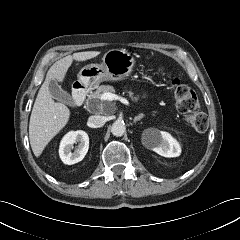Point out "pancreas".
Here are the masks:
<instances>
[{"label":"pancreas","instance_id":"pancreas-1","mask_svg":"<svg viewBox=\"0 0 240 240\" xmlns=\"http://www.w3.org/2000/svg\"><path fill=\"white\" fill-rule=\"evenodd\" d=\"M107 92L114 93L115 92L114 87L110 86V85L99 86L94 93H91L89 95L88 100H87V105H89L91 102H94L100 112L104 111L107 106V103L101 101L100 98H101L102 94L107 93ZM128 94L133 101L137 102L139 100V96H134L133 92L129 91Z\"/></svg>","mask_w":240,"mask_h":240}]
</instances>
